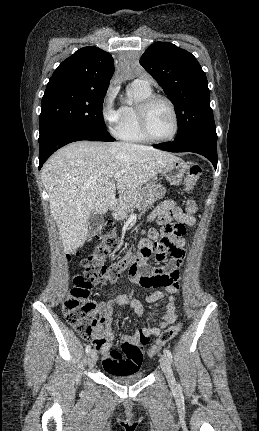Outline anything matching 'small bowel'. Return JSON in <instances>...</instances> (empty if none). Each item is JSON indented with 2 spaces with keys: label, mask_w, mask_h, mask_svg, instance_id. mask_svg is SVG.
<instances>
[{
  "label": "small bowel",
  "mask_w": 259,
  "mask_h": 431,
  "mask_svg": "<svg viewBox=\"0 0 259 431\" xmlns=\"http://www.w3.org/2000/svg\"><path fill=\"white\" fill-rule=\"evenodd\" d=\"M174 219L178 222L193 226L195 219L189 215V212H184L175 201L168 200L161 203L149 216L148 222L156 221L158 223H166ZM158 232L154 228L144 229L143 237L139 242V246L151 239H155ZM185 245L186 241L180 238L174 242V251L171 254V259L161 267H151L149 265L141 269L139 266L130 268L128 277L133 282L138 283L142 288H157L164 286L165 291H156L148 296L149 303H155L163 299L165 296L169 297V302L166 305V313L162 320L157 324L135 330L132 334H124L121 342L130 343L138 347L139 353L136 358L121 352L119 349H113L112 344L115 339L112 330L113 316L116 307L130 306L134 309L135 314L140 318L143 314V308L140 302L128 295H120L107 304L97 303V308L100 314V325L97 330L96 337L103 339L102 344H94V347L101 353V360L103 367L106 371L120 372L121 369L129 364L138 369L143 361V354L140 349V334L146 332L150 335H158L162 330L170 326L177 319L175 297L174 295L180 288L179 284V269L183 264L185 258ZM163 282V283H162Z\"/></svg>",
  "instance_id": "c3829d8e"
}]
</instances>
